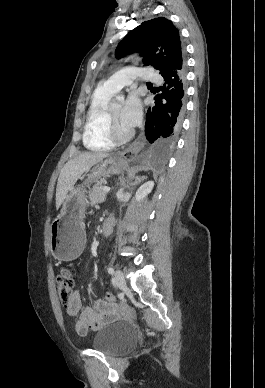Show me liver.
<instances>
[{
    "label": "liver",
    "mask_w": 265,
    "mask_h": 388,
    "mask_svg": "<svg viewBox=\"0 0 265 388\" xmlns=\"http://www.w3.org/2000/svg\"><path fill=\"white\" fill-rule=\"evenodd\" d=\"M108 156L109 154H105V152H83L65 164L57 182L56 210H59L61 204L66 200L67 194L73 190L74 184L81 178L82 174L88 172L92 166Z\"/></svg>",
    "instance_id": "obj_1"
}]
</instances>
